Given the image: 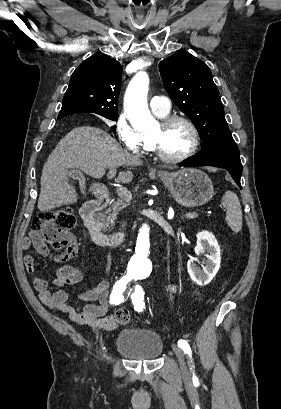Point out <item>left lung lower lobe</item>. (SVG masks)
Instances as JSON below:
<instances>
[{"mask_svg": "<svg viewBox=\"0 0 281 409\" xmlns=\"http://www.w3.org/2000/svg\"><path fill=\"white\" fill-rule=\"evenodd\" d=\"M180 166H214L226 169L235 180L237 185H240L242 174V164L239 154H202L197 155L181 164Z\"/></svg>", "mask_w": 281, "mask_h": 409, "instance_id": "left-lung-lower-lobe-1", "label": "left lung lower lobe"}]
</instances>
